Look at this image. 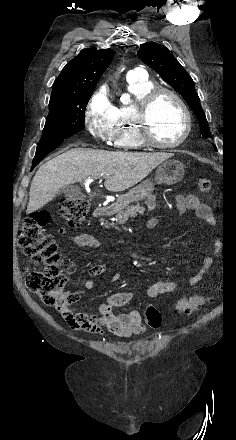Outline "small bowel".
<instances>
[{
    "label": "small bowel",
    "mask_w": 236,
    "mask_h": 440,
    "mask_svg": "<svg viewBox=\"0 0 236 440\" xmlns=\"http://www.w3.org/2000/svg\"><path fill=\"white\" fill-rule=\"evenodd\" d=\"M175 203L180 212L193 210L200 219L204 220L210 226L216 224V220L210 207L202 203L197 196L177 195L175 197ZM156 222V218H151L148 220L147 225L152 228L155 226ZM68 240L81 247L97 248L100 245L99 239L88 233L71 235ZM210 265L211 259L208 257L204 260L199 271L191 277L189 284L191 286L197 285L207 273ZM104 269L103 265L95 264L89 268L88 273L93 278L101 275L104 272ZM92 278L84 282V289L92 290L95 288L96 281ZM120 279L121 275L119 273H115L112 276L113 282H117ZM178 287L179 285L176 281H158L148 287L147 296L149 298H155L158 295L176 291ZM82 295L83 292L81 290L67 293L71 305L78 302L82 298ZM133 298V293L127 291L111 294L107 300L99 306V316L74 313L70 310L75 319H87L88 321H70L69 329L84 330L93 333L98 332L100 334L110 333L117 337H130L132 335L142 334L146 330V327L142 323L139 311L132 309L127 314H115L113 312V308L124 307L131 303Z\"/></svg>",
    "instance_id": "small-bowel-1"
}]
</instances>
